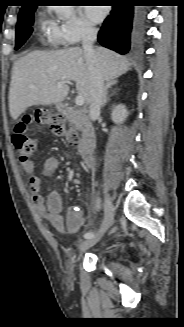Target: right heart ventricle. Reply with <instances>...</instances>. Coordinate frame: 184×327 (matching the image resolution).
<instances>
[{"label": "right heart ventricle", "instance_id": "obj_1", "mask_svg": "<svg viewBox=\"0 0 184 327\" xmlns=\"http://www.w3.org/2000/svg\"><path fill=\"white\" fill-rule=\"evenodd\" d=\"M51 29H52V28H50V35H51Z\"/></svg>", "mask_w": 184, "mask_h": 327}]
</instances>
